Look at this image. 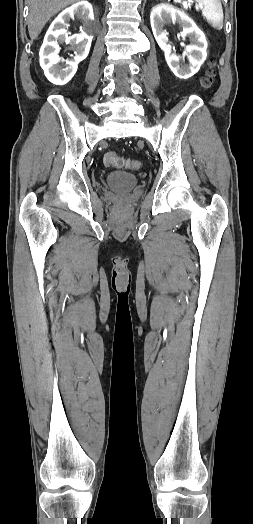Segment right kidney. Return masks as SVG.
Segmentation results:
<instances>
[{"label":"right kidney","instance_id":"1","mask_svg":"<svg viewBox=\"0 0 253 524\" xmlns=\"http://www.w3.org/2000/svg\"><path fill=\"white\" fill-rule=\"evenodd\" d=\"M70 18L83 21V30L80 34L68 35L65 25ZM92 20H94L92 5L87 1H81L62 11L50 25L39 56L44 74L53 84L68 83L75 75L79 62L88 56L93 38ZM62 42L70 45L74 51V57L65 60V64L60 65L61 58L58 51L59 43Z\"/></svg>","mask_w":253,"mask_h":524}]
</instances>
